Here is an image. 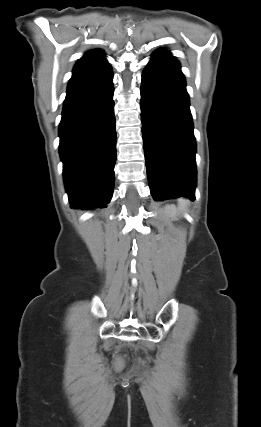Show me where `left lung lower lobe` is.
<instances>
[{
	"instance_id": "obj_1",
	"label": "left lung lower lobe",
	"mask_w": 261,
	"mask_h": 427,
	"mask_svg": "<svg viewBox=\"0 0 261 427\" xmlns=\"http://www.w3.org/2000/svg\"><path fill=\"white\" fill-rule=\"evenodd\" d=\"M189 96L179 62L154 52L141 83V121L147 176L155 201L195 200L196 143Z\"/></svg>"
}]
</instances>
